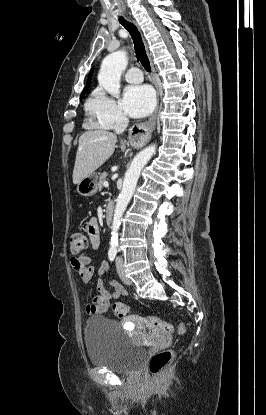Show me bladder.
<instances>
[{
    "label": "bladder",
    "instance_id": "1",
    "mask_svg": "<svg viewBox=\"0 0 266 415\" xmlns=\"http://www.w3.org/2000/svg\"><path fill=\"white\" fill-rule=\"evenodd\" d=\"M89 362L113 372H137L146 356V349L135 343L119 322L104 316L87 319L84 329Z\"/></svg>",
    "mask_w": 266,
    "mask_h": 415
}]
</instances>
